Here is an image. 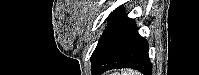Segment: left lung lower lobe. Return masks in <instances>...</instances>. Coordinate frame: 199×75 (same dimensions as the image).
Segmentation results:
<instances>
[{
    "label": "left lung lower lobe",
    "instance_id": "1",
    "mask_svg": "<svg viewBox=\"0 0 199 75\" xmlns=\"http://www.w3.org/2000/svg\"><path fill=\"white\" fill-rule=\"evenodd\" d=\"M148 49V42L139 35L135 21L119 7L110 16V23L92 54V75L117 68H133L152 75Z\"/></svg>",
    "mask_w": 199,
    "mask_h": 75
}]
</instances>
